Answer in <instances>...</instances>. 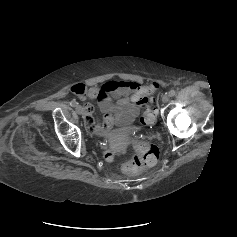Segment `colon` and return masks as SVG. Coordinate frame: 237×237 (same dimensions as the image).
I'll use <instances>...</instances> for the list:
<instances>
[{"mask_svg": "<svg viewBox=\"0 0 237 237\" xmlns=\"http://www.w3.org/2000/svg\"><path fill=\"white\" fill-rule=\"evenodd\" d=\"M159 87L158 83H153L147 87L148 93H153ZM144 114L141 117V123L144 125H152L155 121L156 111L149 104V99L145 104ZM107 158L111 159L112 155L107 154ZM159 158V149L152 143L138 142L134 144V156L132 160L123 165L124 172L128 174H136L145 167L153 166Z\"/></svg>", "mask_w": 237, "mask_h": 237, "instance_id": "1", "label": "colon"}]
</instances>
